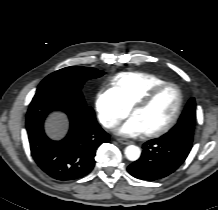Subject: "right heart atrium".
Segmentation results:
<instances>
[{
    "label": "right heart atrium",
    "instance_id": "right-heart-atrium-1",
    "mask_svg": "<svg viewBox=\"0 0 218 210\" xmlns=\"http://www.w3.org/2000/svg\"><path fill=\"white\" fill-rule=\"evenodd\" d=\"M94 106L100 122L108 129L118 126L130 113V108L111 88L97 92Z\"/></svg>",
    "mask_w": 218,
    "mask_h": 210
}]
</instances>
